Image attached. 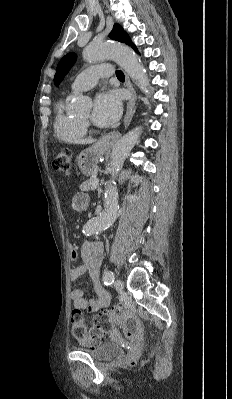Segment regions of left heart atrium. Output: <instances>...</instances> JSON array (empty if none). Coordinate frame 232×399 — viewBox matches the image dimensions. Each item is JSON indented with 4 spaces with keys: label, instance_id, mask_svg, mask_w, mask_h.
<instances>
[{
    "label": "left heart atrium",
    "instance_id": "1",
    "mask_svg": "<svg viewBox=\"0 0 232 399\" xmlns=\"http://www.w3.org/2000/svg\"><path fill=\"white\" fill-rule=\"evenodd\" d=\"M122 113V104L116 92L102 93L97 96L91 113L92 121L100 126L107 127L115 124Z\"/></svg>",
    "mask_w": 232,
    "mask_h": 399
}]
</instances>
